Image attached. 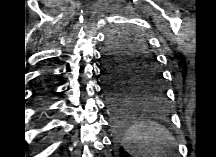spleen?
I'll use <instances>...</instances> for the list:
<instances>
[{
  "label": "spleen",
  "instance_id": "spleen-1",
  "mask_svg": "<svg viewBox=\"0 0 216 157\" xmlns=\"http://www.w3.org/2000/svg\"><path fill=\"white\" fill-rule=\"evenodd\" d=\"M124 149L132 157L161 155L163 149L175 147L174 137L162 125L150 120L134 121L122 135Z\"/></svg>",
  "mask_w": 216,
  "mask_h": 157
}]
</instances>
